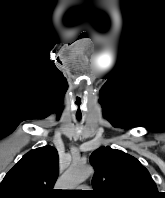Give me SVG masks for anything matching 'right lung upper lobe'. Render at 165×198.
Returning <instances> with one entry per match:
<instances>
[{"label": "right lung upper lobe", "instance_id": "obj_1", "mask_svg": "<svg viewBox=\"0 0 165 198\" xmlns=\"http://www.w3.org/2000/svg\"><path fill=\"white\" fill-rule=\"evenodd\" d=\"M58 177V152L49 145L29 151L6 174L0 198H47Z\"/></svg>", "mask_w": 165, "mask_h": 198}]
</instances>
